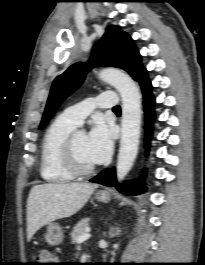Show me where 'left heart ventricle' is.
Listing matches in <instances>:
<instances>
[{"label":"left heart ventricle","instance_id":"obj_1","mask_svg":"<svg viewBox=\"0 0 205 265\" xmlns=\"http://www.w3.org/2000/svg\"><path fill=\"white\" fill-rule=\"evenodd\" d=\"M75 154L77 161L82 166H92L95 163L91 160L88 153L87 147V135L83 132H80L76 135L75 138Z\"/></svg>","mask_w":205,"mask_h":265}]
</instances>
